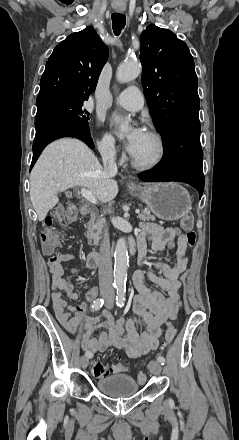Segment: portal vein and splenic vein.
Listing matches in <instances>:
<instances>
[{
	"label": "portal vein and splenic vein",
	"mask_w": 239,
	"mask_h": 440,
	"mask_svg": "<svg viewBox=\"0 0 239 440\" xmlns=\"http://www.w3.org/2000/svg\"><path fill=\"white\" fill-rule=\"evenodd\" d=\"M81 196H83V198H86V200H88V202H91V204H97L95 196H93L92 192H89V190H85V188H82ZM138 211L139 210L136 209L134 213L140 215V212Z\"/></svg>",
	"instance_id": "1"
}]
</instances>
